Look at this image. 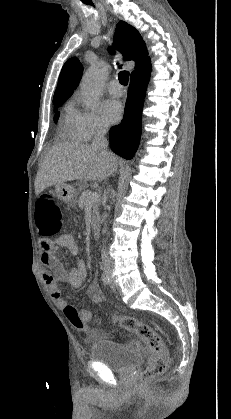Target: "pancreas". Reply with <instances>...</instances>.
Wrapping results in <instances>:
<instances>
[{
	"label": "pancreas",
	"mask_w": 231,
	"mask_h": 419,
	"mask_svg": "<svg viewBox=\"0 0 231 419\" xmlns=\"http://www.w3.org/2000/svg\"><path fill=\"white\" fill-rule=\"evenodd\" d=\"M90 192H91L90 190H84L79 196L76 203L80 208H84L89 203L87 199V194ZM91 205H92L93 219H95L96 216L98 215L100 200L97 198L91 203Z\"/></svg>",
	"instance_id": "obj_1"
}]
</instances>
